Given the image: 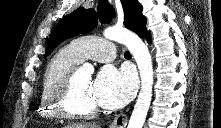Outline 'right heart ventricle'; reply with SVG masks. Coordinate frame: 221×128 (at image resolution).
Here are the masks:
<instances>
[{"instance_id":"right-heart-ventricle-1","label":"right heart ventricle","mask_w":221,"mask_h":128,"mask_svg":"<svg viewBox=\"0 0 221 128\" xmlns=\"http://www.w3.org/2000/svg\"><path fill=\"white\" fill-rule=\"evenodd\" d=\"M83 60L71 45L58 50L47 63L38 103V114L44 118H58L59 114L52 108L50 97L64 81L69 72Z\"/></svg>"}]
</instances>
